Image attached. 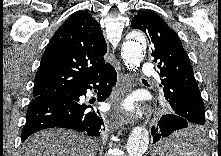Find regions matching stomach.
Wrapping results in <instances>:
<instances>
[{
	"mask_svg": "<svg viewBox=\"0 0 221 156\" xmlns=\"http://www.w3.org/2000/svg\"><path fill=\"white\" fill-rule=\"evenodd\" d=\"M152 156H174L171 150H168L165 144L160 145L152 153Z\"/></svg>",
	"mask_w": 221,
	"mask_h": 156,
	"instance_id": "stomach-1",
	"label": "stomach"
}]
</instances>
